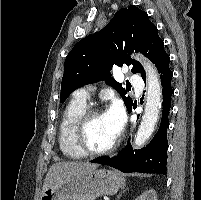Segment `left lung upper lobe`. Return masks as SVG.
<instances>
[{"instance_id": "obj_1", "label": "left lung upper lobe", "mask_w": 201, "mask_h": 200, "mask_svg": "<svg viewBox=\"0 0 201 200\" xmlns=\"http://www.w3.org/2000/svg\"><path fill=\"white\" fill-rule=\"evenodd\" d=\"M134 50L154 64L165 53L157 27L146 12L132 5L116 12L102 30L85 37L72 48L64 63L60 102L63 103L83 85L106 80L120 93L130 111L132 99L126 96V89L111 77L110 71L115 65L126 64L133 66V73L145 76L142 65L129 57Z\"/></svg>"}]
</instances>
